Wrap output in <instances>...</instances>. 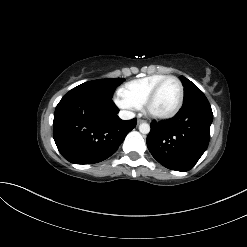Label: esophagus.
<instances>
[{"instance_id": "34e87169", "label": "esophagus", "mask_w": 247, "mask_h": 247, "mask_svg": "<svg viewBox=\"0 0 247 247\" xmlns=\"http://www.w3.org/2000/svg\"><path fill=\"white\" fill-rule=\"evenodd\" d=\"M143 122H144L143 119H138V120H137V124H141V123H143Z\"/></svg>"}]
</instances>
